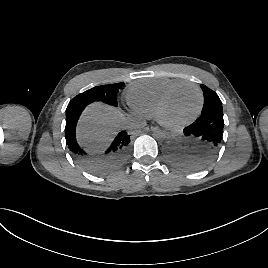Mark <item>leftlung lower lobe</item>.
<instances>
[{"instance_id":"0a47b994","label":"left lung lower lobe","mask_w":268,"mask_h":268,"mask_svg":"<svg viewBox=\"0 0 268 268\" xmlns=\"http://www.w3.org/2000/svg\"><path fill=\"white\" fill-rule=\"evenodd\" d=\"M223 113L201 115L184 128L165 149L167 162L176 169H200L217 157L223 141Z\"/></svg>"}]
</instances>
